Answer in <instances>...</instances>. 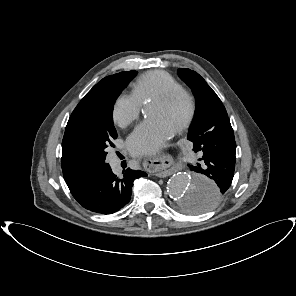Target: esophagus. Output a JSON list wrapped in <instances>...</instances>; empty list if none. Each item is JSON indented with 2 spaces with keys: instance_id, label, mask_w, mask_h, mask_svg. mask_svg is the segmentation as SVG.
<instances>
[{
  "instance_id": "esophagus-1",
  "label": "esophagus",
  "mask_w": 296,
  "mask_h": 296,
  "mask_svg": "<svg viewBox=\"0 0 296 296\" xmlns=\"http://www.w3.org/2000/svg\"><path fill=\"white\" fill-rule=\"evenodd\" d=\"M170 151H173L176 153L177 155V158L175 161L173 162H168V163H158L155 161L154 159V156L156 153H154L153 155H151L147 161H146V166L148 168V171L152 174V175H155V176H165L168 174V172L171 170V167H172V164H176L178 163L181 158H182V153L181 151L176 148V147H170L168 148L165 152H170Z\"/></svg>"
}]
</instances>
